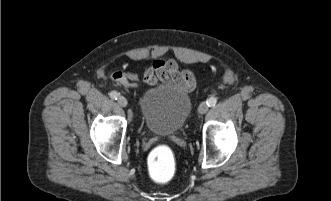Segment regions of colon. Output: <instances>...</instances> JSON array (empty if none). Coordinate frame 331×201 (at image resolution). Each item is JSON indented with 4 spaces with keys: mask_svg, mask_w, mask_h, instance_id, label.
Listing matches in <instances>:
<instances>
[{
    "mask_svg": "<svg viewBox=\"0 0 331 201\" xmlns=\"http://www.w3.org/2000/svg\"><path fill=\"white\" fill-rule=\"evenodd\" d=\"M148 167L155 182L170 181L175 173V160L171 150L165 146L154 149L149 156Z\"/></svg>",
    "mask_w": 331,
    "mask_h": 201,
    "instance_id": "1",
    "label": "colon"
}]
</instances>
